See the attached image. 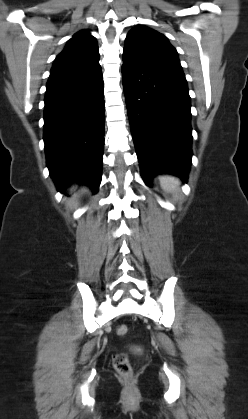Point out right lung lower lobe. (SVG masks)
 I'll return each instance as SVG.
<instances>
[{"instance_id": "right-lung-lower-lobe-1", "label": "right lung lower lobe", "mask_w": 248, "mask_h": 419, "mask_svg": "<svg viewBox=\"0 0 248 419\" xmlns=\"http://www.w3.org/2000/svg\"><path fill=\"white\" fill-rule=\"evenodd\" d=\"M44 108L47 167L58 190L73 181L97 192L104 146V94L100 65L49 80Z\"/></svg>"}]
</instances>
